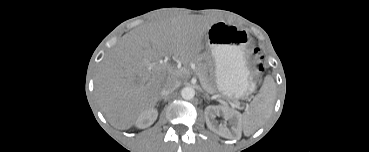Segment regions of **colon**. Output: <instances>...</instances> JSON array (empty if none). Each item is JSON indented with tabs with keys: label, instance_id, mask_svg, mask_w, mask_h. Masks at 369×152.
<instances>
[{
	"label": "colon",
	"instance_id": "5ec220e1",
	"mask_svg": "<svg viewBox=\"0 0 369 152\" xmlns=\"http://www.w3.org/2000/svg\"><path fill=\"white\" fill-rule=\"evenodd\" d=\"M253 58L255 63V71L257 74H259L263 70V55L260 50H255Z\"/></svg>",
	"mask_w": 369,
	"mask_h": 152
}]
</instances>
